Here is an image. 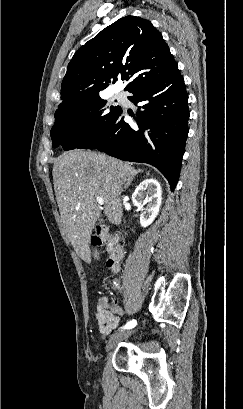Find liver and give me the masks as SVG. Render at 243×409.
Returning a JSON list of instances; mask_svg holds the SVG:
<instances>
[{"instance_id": "1", "label": "liver", "mask_w": 243, "mask_h": 409, "mask_svg": "<svg viewBox=\"0 0 243 409\" xmlns=\"http://www.w3.org/2000/svg\"><path fill=\"white\" fill-rule=\"evenodd\" d=\"M90 151L61 154L53 167V182L61 219L68 239L83 258L89 253V239L100 215L96 196L104 200L107 220L122 219L121 193L137 171L126 162Z\"/></svg>"}]
</instances>
